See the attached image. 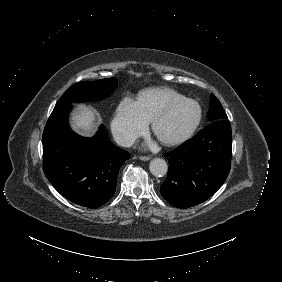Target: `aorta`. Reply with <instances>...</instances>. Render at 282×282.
Returning a JSON list of instances; mask_svg holds the SVG:
<instances>
[{"label": "aorta", "instance_id": "1", "mask_svg": "<svg viewBox=\"0 0 282 282\" xmlns=\"http://www.w3.org/2000/svg\"><path fill=\"white\" fill-rule=\"evenodd\" d=\"M149 169L155 177H163L167 173L168 166L164 159L154 158L150 162Z\"/></svg>", "mask_w": 282, "mask_h": 282}]
</instances>
